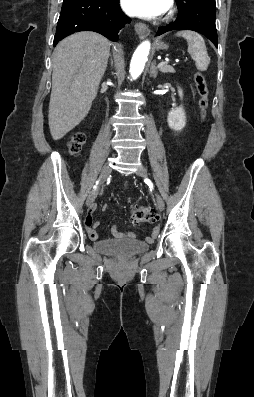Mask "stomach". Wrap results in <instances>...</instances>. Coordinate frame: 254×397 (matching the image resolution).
<instances>
[{"mask_svg": "<svg viewBox=\"0 0 254 397\" xmlns=\"http://www.w3.org/2000/svg\"><path fill=\"white\" fill-rule=\"evenodd\" d=\"M156 48H157V49H160V50H165V49L168 48V45L165 44V43H163V42H157V43H156Z\"/></svg>", "mask_w": 254, "mask_h": 397, "instance_id": "0dacf381", "label": "stomach"}]
</instances>
